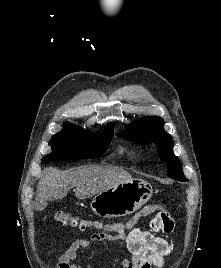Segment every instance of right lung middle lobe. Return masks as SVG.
<instances>
[{
    "instance_id": "dd1d6c3e",
    "label": "right lung middle lobe",
    "mask_w": 221,
    "mask_h": 268,
    "mask_svg": "<svg viewBox=\"0 0 221 268\" xmlns=\"http://www.w3.org/2000/svg\"><path fill=\"white\" fill-rule=\"evenodd\" d=\"M65 127L52 136V152L42 159L44 162L98 157L108 149L114 134L107 127L97 134L67 123Z\"/></svg>"
}]
</instances>
